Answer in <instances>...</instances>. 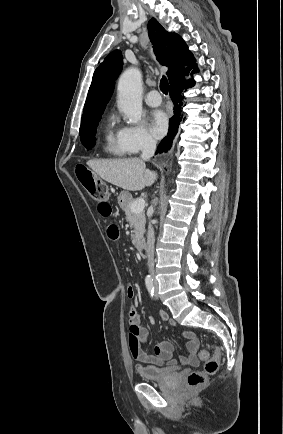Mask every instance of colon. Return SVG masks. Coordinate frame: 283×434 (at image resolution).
<instances>
[{"instance_id":"1","label":"colon","mask_w":283,"mask_h":434,"mask_svg":"<svg viewBox=\"0 0 283 434\" xmlns=\"http://www.w3.org/2000/svg\"><path fill=\"white\" fill-rule=\"evenodd\" d=\"M76 175L87 193L96 201L103 202L109 198V190L106 184L95 177V175L84 165L76 167ZM199 357L205 361L202 371H193L187 377V384L195 389L205 384L208 375L216 373L219 367L220 353L216 351L213 356L208 349H201Z\"/></svg>"}]
</instances>
